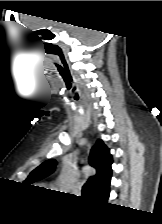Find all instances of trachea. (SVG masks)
Returning a JSON list of instances; mask_svg holds the SVG:
<instances>
[{
	"instance_id": "3493384b",
	"label": "trachea",
	"mask_w": 162,
	"mask_h": 224,
	"mask_svg": "<svg viewBox=\"0 0 162 224\" xmlns=\"http://www.w3.org/2000/svg\"><path fill=\"white\" fill-rule=\"evenodd\" d=\"M88 191H89V183L87 182V183L84 184V186L82 188V193L87 194Z\"/></svg>"
}]
</instances>
